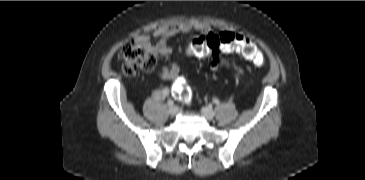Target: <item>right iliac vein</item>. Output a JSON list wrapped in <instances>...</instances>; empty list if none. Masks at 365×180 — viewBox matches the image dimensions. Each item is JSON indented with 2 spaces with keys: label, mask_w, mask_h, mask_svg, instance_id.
<instances>
[{
  "label": "right iliac vein",
  "mask_w": 365,
  "mask_h": 180,
  "mask_svg": "<svg viewBox=\"0 0 365 180\" xmlns=\"http://www.w3.org/2000/svg\"><path fill=\"white\" fill-rule=\"evenodd\" d=\"M170 116H175L178 113V108L176 106H171L168 110Z\"/></svg>",
  "instance_id": "right-iliac-vein-1"
}]
</instances>
